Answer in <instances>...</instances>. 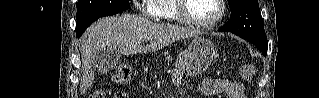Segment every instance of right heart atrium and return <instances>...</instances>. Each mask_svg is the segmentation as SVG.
Masks as SVG:
<instances>
[{
  "label": "right heart atrium",
  "instance_id": "d8ad5b80",
  "mask_svg": "<svg viewBox=\"0 0 319 98\" xmlns=\"http://www.w3.org/2000/svg\"><path fill=\"white\" fill-rule=\"evenodd\" d=\"M144 2H146V1H144ZM142 11L144 13L148 14L151 18L156 17L155 14L152 11H150L149 9H147V8H143Z\"/></svg>",
  "mask_w": 319,
  "mask_h": 98
}]
</instances>
